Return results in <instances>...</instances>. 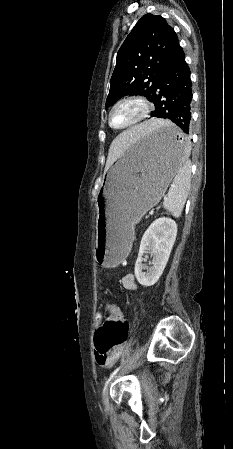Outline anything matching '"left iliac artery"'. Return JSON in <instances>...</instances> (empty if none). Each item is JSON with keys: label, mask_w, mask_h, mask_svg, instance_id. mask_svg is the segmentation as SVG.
Here are the masks:
<instances>
[{"label": "left iliac artery", "mask_w": 233, "mask_h": 449, "mask_svg": "<svg viewBox=\"0 0 233 449\" xmlns=\"http://www.w3.org/2000/svg\"><path fill=\"white\" fill-rule=\"evenodd\" d=\"M122 366L123 365H120L118 368H116L111 374H110V377H109V379L106 381V383H105V387H104V390H103V392L105 391V389H106V386H107V384L109 383V381L118 373V371L122 368Z\"/></svg>", "instance_id": "44dca946"}]
</instances>
